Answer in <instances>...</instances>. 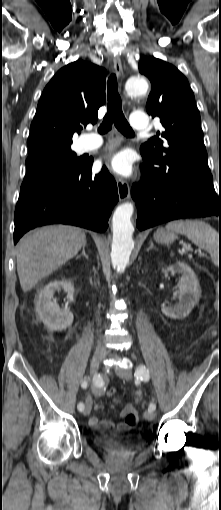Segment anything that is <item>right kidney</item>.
<instances>
[{
  "instance_id": "1",
  "label": "right kidney",
  "mask_w": 221,
  "mask_h": 510,
  "mask_svg": "<svg viewBox=\"0 0 221 510\" xmlns=\"http://www.w3.org/2000/svg\"><path fill=\"white\" fill-rule=\"evenodd\" d=\"M60 289L67 292L68 300H73L74 286L69 281L60 280L52 281L38 291L34 301L37 316L49 330L53 331H62L73 323V314L70 312V308L61 309L52 301L54 292Z\"/></svg>"
}]
</instances>
